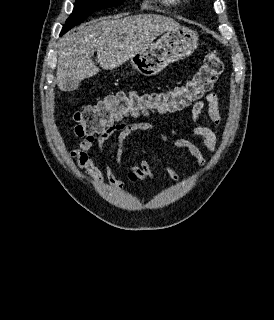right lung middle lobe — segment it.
I'll use <instances>...</instances> for the list:
<instances>
[{"instance_id":"obj_1","label":"right lung middle lobe","mask_w":274,"mask_h":320,"mask_svg":"<svg viewBox=\"0 0 274 320\" xmlns=\"http://www.w3.org/2000/svg\"><path fill=\"white\" fill-rule=\"evenodd\" d=\"M124 1L125 0H76L73 13L67 19L60 35H63L75 25L83 22L94 11L119 6L123 4Z\"/></svg>"}]
</instances>
